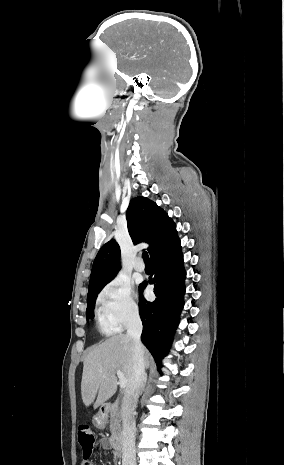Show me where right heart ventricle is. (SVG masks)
Instances as JSON below:
<instances>
[{
	"label": "right heart ventricle",
	"mask_w": 284,
	"mask_h": 465,
	"mask_svg": "<svg viewBox=\"0 0 284 465\" xmlns=\"http://www.w3.org/2000/svg\"><path fill=\"white\" fill-rule=\"evenodd\" d=\"M96 328L102 334H112L115 332V326L112 321L101 310L96 314Z\"/></svg>",
	"instance_id": "right-heart-ventricle-1"
}]
</instances>
